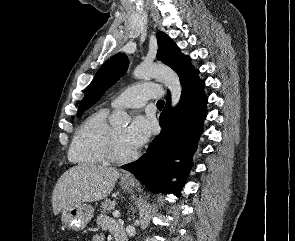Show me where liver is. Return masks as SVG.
I'll use <instances>...</instances> for the list:
<instances>
[{"label":"liver","instance_id":"obj_1","mask_svg":"<svg viewBox=\"0 0 295 241\" xmlns=\"http://www.w3.org/2000/svg\"><path fill=\"white\" fill-rule=\"evenodd\" d=\"M120 172L112 167L93 164L78 165L67 170L52 193L54 215L67 205L106 198L114 188Z\"/></svg>","mask_w":295,"mask_h":241}]
</instances>
